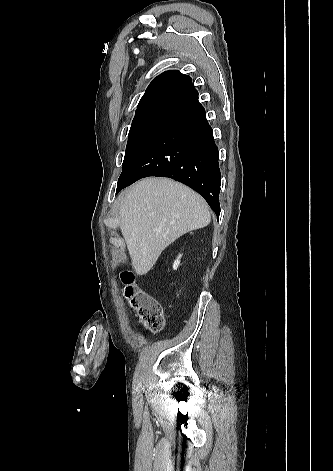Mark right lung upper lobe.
I'll use <instances>...</instances> for the list:
<instances>
[{
  "mask_svg": "<svg viewBox=\"0 0 333 471\" xmlns=\"http://www.w3.org/2000/svg\"><path fill=\"white\" fill-rule=\"evenodd\" d=\"M198 103V92L191 78L179 71H167L150 83L135 117L159 116L178 120Z\"/></svg>",
  "mask_w": 333,
  "mask_h": 471,
  "instance_id": "cb5924a9",
  "label": "right lung upper lobe"
}]
</instances>
